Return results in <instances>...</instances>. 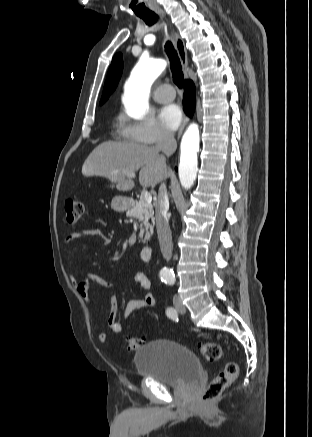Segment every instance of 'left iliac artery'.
Segmentation results:
<instances>
[{"label": "left iliac artery", "instance_id": "1", "mask_svg": "<svg viewBox=\"0 0 312 437\" xmlns=\"http://www.w3.org/2000/svg\"><path fill=\"white\" fill-rule=\"evenodd\" d=\"M161 280L164 281L166 284H169V285L174 284V281H175L173 278H167V277L166 278L161 277ZM166 314H167V316L169 318H172V319L177 318V312L172 307H168L166 309Z\"/></svg>", "mask_w": 312, "mask_h": 437}]
</instances>
